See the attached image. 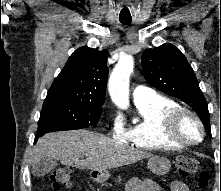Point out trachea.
Here are the masks:
<instances>
[{"mask_svg":"<svg viewBox=\"0 0 221 191\" xmlns=\"http://www.w3.org/2000/svg\"><path fill=\"white\" fill-rule=\"evenodd\" d=\"M120 22L123 24V25H129L131 23V20H120Z\"/></svg>","mask_w":221,"mask_h":191,"instance_id":"1","label":"trachea"}]
</instances>
